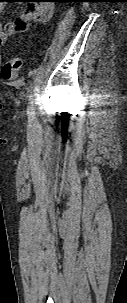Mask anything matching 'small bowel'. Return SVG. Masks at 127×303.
Returning <instances> with one entry per match:
<instances>
[{
    "label": "small bowel",
    "instance_id": "obj_1",
    "mask_svg": "<svg viewBox=\"0 0 127 303\" xmlns=\"http://www.w3.org/2000/svg\"><path fill=\"white\" fill-rule=\"evenodd\" d=\"M51 0L31 1L27 4L23 15L8 22L5 27L0 24V45L6 43L8 39L16 34L24 33L28 30L32 21L47 22L53 14V5L46 3ZM2 7L0 6V12Z\"/></svg>",
    "mask_w": 127,
    "mask_h": 303
}]
</instances>
